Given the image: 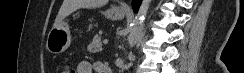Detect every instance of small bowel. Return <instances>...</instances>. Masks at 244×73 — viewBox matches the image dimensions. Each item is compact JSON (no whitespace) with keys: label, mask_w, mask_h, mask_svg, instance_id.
I'll return each mask as SVG.
<instances>
[{"label":"small bowel","mask_w":244,"mask_h":73,"mask_svg":"<svg viewBox=\"0 0 244 73\" xmlns=\"http://www.w3.org/2000/svg\"><path fill=\"white\" fill-rule=\"evenodd\" d=\"M106 69H107V66L100 62H96V63L92 64L89 61H80L77 64L76 72L77 73H92L94 70L97 73H108L107 71H105Z\"/></svg>","instance_id":"c3829d8e"}]
</instances>
